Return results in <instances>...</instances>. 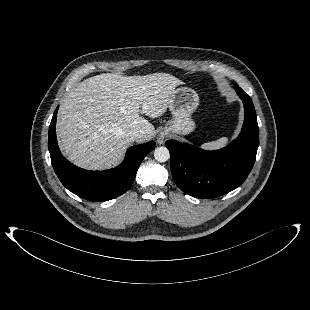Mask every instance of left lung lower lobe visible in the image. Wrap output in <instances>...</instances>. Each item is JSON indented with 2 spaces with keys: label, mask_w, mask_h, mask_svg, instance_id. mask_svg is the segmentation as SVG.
<instances>
[{
  "label": "left lung lower lobe",
  "mask_w": 310,
  "mask_h": 310,
  "mask_svg": "<svg viewBox=\"0 0 310 310\" xmlns=\"http://www.w3.org/2000/svg\"><path fill=\"white\" fill-rule=\"evenodd\" d=\"M242 99L245 120L239 136L223 149L205 151L174 140L170 152L173 179L185 193L202 199L224 195L241 185L250 173L259 145V129L250 96L235 87Z\"/></svg>",
  "instance_id": "left-lung-lower-lobe-1"
}]
</instances>
